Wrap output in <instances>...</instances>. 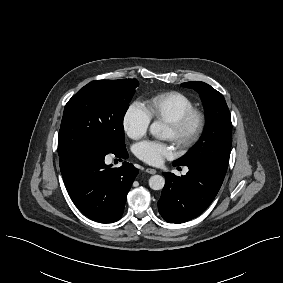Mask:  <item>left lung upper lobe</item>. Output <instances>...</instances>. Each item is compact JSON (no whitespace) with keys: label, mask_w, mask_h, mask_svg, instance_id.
I'll use <instances>...</instances> for the list:
<instances>
[{"label":"left lung upper lobe","mask_w":283,"mask_h":283,"mask_svg":"<svg viewBox=\"0 0 283 283\" xmlns=\"http://www.w3.org/2000/svg\"><path fill=\"white\" fill-rule=\"evenodd\" d=\"M182 85L200 94L207 125L197 145L174 163L205 167L225 176L232 144L231 115L225 99L220 92L204 82H185Z\"/></svg>","instance_id":"5c2ea615"}]
</instances>
